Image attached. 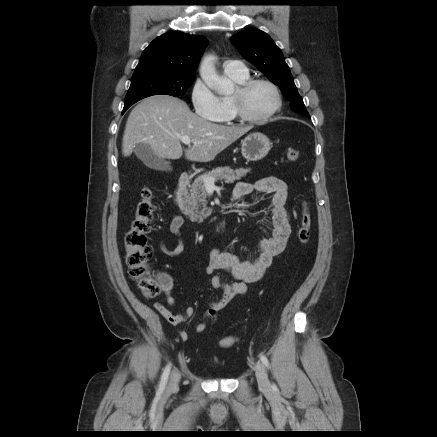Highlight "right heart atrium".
Instances as JSON below:
<instances>
[{"mask_svg":"<svg viewBox=\"0 0 437 437\" xmlns=\"http://www.w3.org/2000/svg\"><path fill=\"white\" fill-rule=\"evenodd\" d=\"M191 103L195 113L206 120L217 121L223 114L220 97L201 79H197L193 84Z\"/></svg>","mask_w":437,"mask_h":437,"instance_id":"obj_1","label":"right heart atrium"}]
</instances>
